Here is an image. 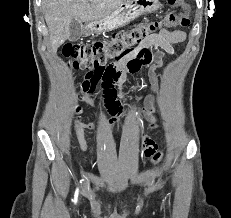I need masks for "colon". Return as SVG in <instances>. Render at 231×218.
Instances as JSON below:
<instances>
[{"instance_id": "1", "label": "colon", "mask_w": 231, "mask_h": 218, "mask_svg": "<svg viewBox=\"0 0 231 218\" xmlns=\"http://www.w3.org/2000/svg\"><path fill=\"white\" fill-rule=\"evenodd\" d=\"M166 1L171 6L182 7L183 11L167 13L162 24L166 27L188 26L190 23L189 12L183 0ZM157 27L158 23L134 25L129 29L114 33L105 41H97L92 44H66L62 53L75 69L87 71L98 69V66H105L106 63H112L119 56L147 58V56H152L151 52L142 48V45ZM150 156L151 161L157 163L161 160L163 153L154 149Z\"/></svg>"}]
</instances>
